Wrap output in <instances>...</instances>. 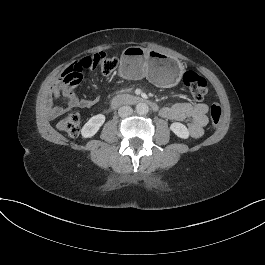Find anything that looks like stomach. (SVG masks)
I'll return each mask as SVG.
<instances>
[{"label": "stomach", "instance_id": "1", "mask_svg": "<svg viewBox=\"0 0 265 265\" xmlns=\"http://www.w3.org/2000/svg\"><path fill=\"white\" fill-rule=\"evenodd\" d=\"M182 64L164 52L148 50L139 46L126 48L120 58V74L126 79L146 77L161 87H173L182 74Z\"/></svg>", "mask_w": 265, "mask_h": 265}]
</instances>
